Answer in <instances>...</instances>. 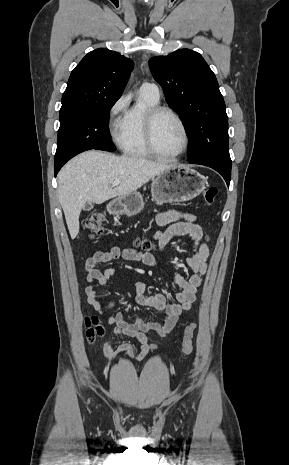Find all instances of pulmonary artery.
<instances>
[{"mask_svg": "<svg viewBox=\"0 0 289 465\" xmlns=\"http://www.w3.org/2000/svg\"><path fill=\"white\" fill-rule=\"evenodd\" d=\"M140 90H143L145 92H147L149 95H151L153 98L155 99H159V89L157 87V85H155L154 83H143Z\"/></svg>", "mask_w": 289, "mask_h": 465, "instance_id": "e3ab8cb5", "label": "pulmonary artery"}]
</instances>
